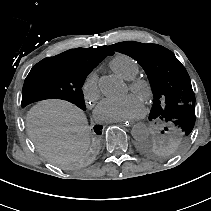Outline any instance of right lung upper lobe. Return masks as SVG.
I'll return each instance as SVG.
<instances>
[{
  "instance_id": "obj_1",
  "label": "right lung upper lobe",
  "mask_w": 211,
  "mask_h": 211,
  "mask_svg": "<svg viewBox=\"0 0 211 211\" xmlns=\"http://www.w3.org/2000/svg\"><path fill=\"white\" fill-rule=\"evenodd\" d=\"M114 52L107 46L97 48H76L63 52L57 56L70 57L87 61H102L106 56L113 55Z\"/></svg>"
}]
</instances>
